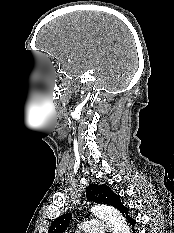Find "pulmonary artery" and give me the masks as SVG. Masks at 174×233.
Segmentation results:
<instances>
[{
	"label": "pulmonary artery",
	"instance_id": "obj_1",
	"mask_svg": "<svg viewBox=\"0 0 174 233\" xmlns=\"http://www.w3.org/2000/svg\"><path fill=\"white\" fill-rule=\"evenodd\" d=\"M82 227L85 233H105L106 230L105 222L99 219L86 221Z\"/></svg>",
	"mask_w": 174,
	"mask_h": 233
}]
</instances>
